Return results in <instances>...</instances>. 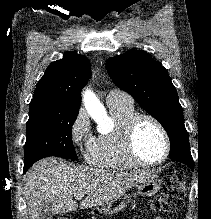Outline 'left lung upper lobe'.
<instances>
[{"label":"left lung upper lobe","instance_id":"obj_1","mask_svg":"<svg viewBox=\"0 0 211 219\" xmlns=\"http://www.w3.org/2000/svg\"><path fill=\"white\" fill-rule=\"evenodd\" d=\"M106 68L113 82L129 93L166 130L170 155L190 151L183 109L166 69L147 53L132 50L109 58Z\"/></svg>","mask_w":211,"mask_h":219}]
</instances>
